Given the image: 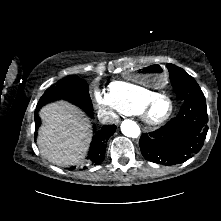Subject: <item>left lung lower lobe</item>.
<instances>
[{
    "label": "left lung lower lobe",
    "instance_id": "left-lung-lower-lobe-1",
    "mask_svg": "<svg viewBox=\"0 0 221 221\" xmlns=\"http://www.w3.org/2000/svg\"><path fill=\"white\" fill-rule=\"evenodd\" d=\"M207 131L205 97L186 100L176 117L158 130L141 136V153L153 163L181 164L200 151Z\"/></svg>",
    "mask_w": 221,
    "mask_h": 221
}]
</instances>
